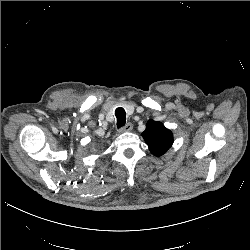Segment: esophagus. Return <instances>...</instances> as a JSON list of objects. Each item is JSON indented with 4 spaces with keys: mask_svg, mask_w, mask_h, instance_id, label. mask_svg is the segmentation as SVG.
I'll return each instance as SVG.
<instances>
[{
    "mask_svg": "<svg viewBox=\"0 0 250 250\" xmlns=\"http://www.w3.org/2000/svg\"><path fill=\"white\" fill-rule=\"evenodd\" d=\"M133 129V125L132 123H127L125 126H123L122 128H120V132L123 133V132H129Z\"/></svg>",
    "mask_w": 250,
    "mask_h": 250,
    "instance_id": "34e87169",
    "label": "esophagus"
}]
</instances>
